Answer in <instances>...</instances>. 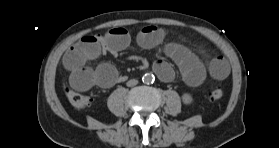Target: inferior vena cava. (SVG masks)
Here are the masks:
<instances>
[{
  "label": "inferior vena cava",
  "mask_w": 279,
  "mask_h": 148,
  "mask_svg": "<svg viewBox=\"0 0 279 148\" xmlns=\"http://www.w3.org/2000/svg\"><path fill=\"white\" fill-rule=\"evenodd\" d=\"M137 84H138V80H136V79H131L127 82L128 87H132V86H135Z\"/></svg>",
  "instance_id": "1"
}]
</instances>
